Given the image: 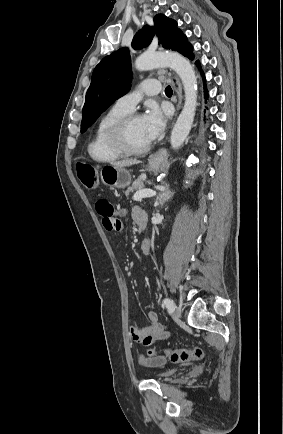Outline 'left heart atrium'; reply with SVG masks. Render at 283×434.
<instances>
[{"label": "left heart atrium", "mask_w": 283, "mask_h": 434, "mask_svg": "<svg viewBox=\"0 0 283 434\" xmlns=\"http://www.w3.org/2000/svg\"><path fill=\"white\" fill-rule=\"evenodd\" d=\"M141 124L146 138L153 141L162 134L165 128V113L157 105H151L141 117Z\"/></svg>", "instance_id": "1"}]
</instances>
